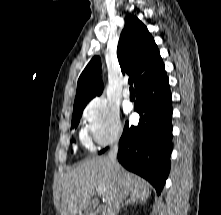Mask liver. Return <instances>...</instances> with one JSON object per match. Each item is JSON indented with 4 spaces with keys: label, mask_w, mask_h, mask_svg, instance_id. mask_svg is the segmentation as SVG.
I'll use <instances>...</instances> for the list:
<instances>
[{
    "label": "liver",
    "mask_w": 221,
    "mask_h": 215,
    "mask_svg": "<svg viewBox=\"0 0 221 215\" xmlns=\"http://www.w3.org/2000/svg\"><path fill=\"white\" fill-rule=\"evenodd\" d=\"M103 196L107 208L116 196L122 200L145 201L151 195L149 184L114 166L107 156L87 159L69 171L62 183L61 215H77L87 208L94 192Z\"/></svg>",
    "instance_id": "liver-1"
}]
</instances>
